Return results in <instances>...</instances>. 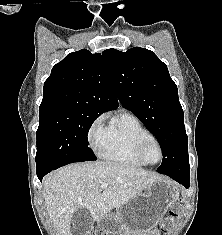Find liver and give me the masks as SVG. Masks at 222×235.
<instances>
[{"mask_svg": "<svg viewBox=\"0 0 222 235\" xmlns=\"http://www.w3.org/2000/svg\"><path fill=\"white\" fill-rule=\"evenodd\" d=\"M163 177L126 164L89 162L60 168L43 181L45 207L58 235H71V218L86 208L93 222L109 214ZM107 183V188H101Z\"/></svg>", "mask_w": 222, "mask_h": 235, "instance_id": "6515ba94", "label": "liver"}]
</instances>
